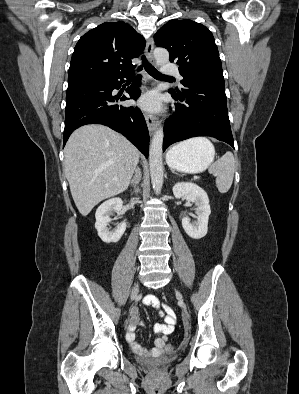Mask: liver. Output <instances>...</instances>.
Masks as SVG:
<instances>
[{
    "mask_svg": "<svg viewBox=\"0 0 299 394\" xmlns=\"http://www.w3.org/2000/svg\"><path fill=\"white\" fill-rule=\"evenodd\" d=\"M65 176L82 216L104 199L125 191L140 152L123 135L103 125L75 130L64 149Z\"/></svg>",
    "mask_w": 299,
    "mask_h": 394,
    "instance_id": "liver-1",
    "label": "liver"
}]
</instances>
